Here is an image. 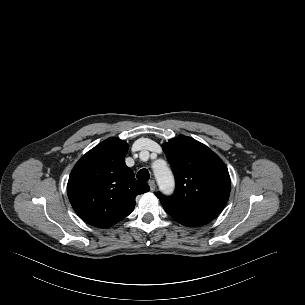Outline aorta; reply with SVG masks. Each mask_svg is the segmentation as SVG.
Here are the masks:
<instances>
[{
    "instance_id": "762f6f07",
    "label": "aorta",
    "mask_w": 305,
    "mask_h": 305,
    "mask_svg": "<svg viewBox=\"0 0 305 305\" xmlns=\"http://www.w3.org/2000/svg\"><path fill=\"white\" fill-rule=\"evenodd\" d=\"M154 175L160 189L165 193H171L174 188L172 172L166 165H154Z\"/></svg>"
}]
</instances>
